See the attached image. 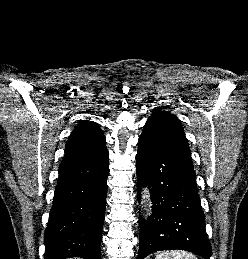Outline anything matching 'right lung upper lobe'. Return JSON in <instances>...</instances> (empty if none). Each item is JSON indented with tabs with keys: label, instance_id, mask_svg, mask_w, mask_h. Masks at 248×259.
<instances>
[{
	"label": "right lung upper lobe",
	"instance_id": "1",
	"mask_svg": "<svg viewBox=\"0 0 248 259\" xmlns=\"http://www.w3.org/2000/svg\"><path fill=\"white\" fill-rule=\"evenodd\" d=\"M105 137L93 121H81L72 131L66 144L60 166L76 164L98 158L107 151Z\"/></svg>",
	"mask_w": 248,
	"mask_h": 259
}]
</instances>
